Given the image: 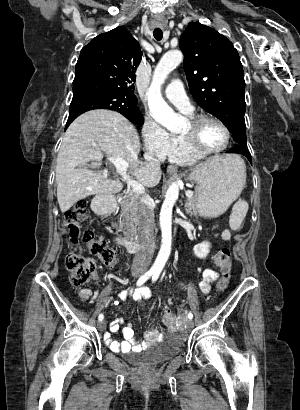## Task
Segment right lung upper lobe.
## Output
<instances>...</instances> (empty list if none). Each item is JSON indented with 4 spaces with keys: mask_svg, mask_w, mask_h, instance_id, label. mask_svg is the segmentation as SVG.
<instances>
[{
    "mask_svg": "<svg viewBox=\"0 0 300 410\" xmlns=\"http://www.w3.org/2000/svg\"><path fill=\"white\" fill-rule=\"evenodd\" d=\"M142 59L139 43L127 29L117 27L95 37L82 48L74 84L89 83L118 93L127 107H137L135 71Z\"/></svg>",
    "mask_w": 300,
    "mask_h": 410,
    "instance_id": "obj_1",
    "label": "right lung upper lobe"
}]
</instances>
